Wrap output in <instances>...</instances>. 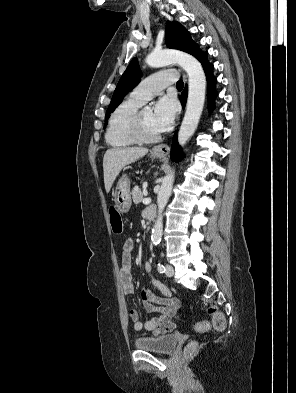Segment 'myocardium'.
Segmentation results:
<instances>
[{
    "instance_id": "1",
    "label": "myocardium",
    "mask_w": 296,
    "mask_h": 393,
    "mask_svg": "<svg viewBox=\"0 0 296 393\" xmlns=\"http://www.w3.org/2000/svg\"><path fill=\"white\" fill-rule=\"evenodd\" d=\"M130 134L137 143H153L160 138L159 134L149 135L146 133L141 119V111H137L132 120Z\"/></svg>"
}]
</instances>
